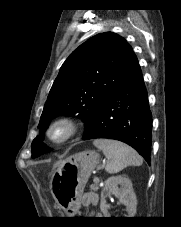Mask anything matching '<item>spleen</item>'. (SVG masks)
I'll list each match as a JSON object with an SVG mask.
<instances>
[{"instance_id": "1", "label": "spleen", "mask_w": 181, "mask_h": 227, "mask_svg": "<svg viewBox=\"0 0 181 227\" xmlns=\"http://www.w3.org/2000/svg\"><path fill=\"white\" fill-rule=\"evenodd\" d=\"M94 146L102 150L105 157L110 160L106 165V171L115 174L127 166H140L143 163L142 157L130 146L110 139H97Z\"/></svg>"}]
</instances>
